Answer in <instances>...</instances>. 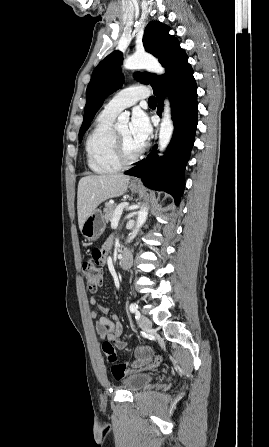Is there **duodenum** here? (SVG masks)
<instances>
[{
  "label": "duodenum",
  "instance_id": "410a0bca",
  "mask_svg": "<svg viewBox=\"0 0 269 447\" xmlns=\"http://www.w3.org/2000/svg\"><path fill=\"white\" fill-rule=\"evenodd\" d=\"M132 265V256L130 252L126 251L123 253L120 260V267L123 271H127Z\"/></svg>",
  "mask_w": 269,
  "mask_h": 447
}]
</instances>
